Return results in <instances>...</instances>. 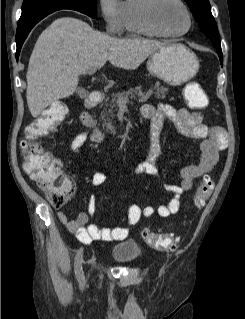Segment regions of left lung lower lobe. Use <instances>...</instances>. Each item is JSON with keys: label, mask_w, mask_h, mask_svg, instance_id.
<instances>
[{"label": "left lung lower lobe", "mask_w": 245, "mask_h": 319, "mask_svg": "<svg viewBox=\"0 0 245 319\" xmlns=\"http://www.w3.org/2000/svg\"><path fill=\"white\" fill-rule=\"evenodd\" d=\"M217 52L219 54L220 62H221V65H222L223 64L222 51H221V49H217Z\"/></svg>", "instance_id": "1"}]
</instances>
